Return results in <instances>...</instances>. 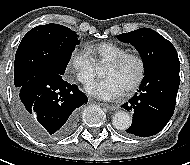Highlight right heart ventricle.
<instances>
[{"mask_svg": "<svg viewBox=\"0 0 190 165\" xmlns=\"http://www.w3.org/2000/svg\"><path fill=\"white\" fill-rule=\"evenodd\" d=\"M93 59L97 62H109L125 53L127 49L113 42H101L87 48Z\"/></svg>", "mask_w": 190, "mask_h": 165, "instance_id": "obj_1", "label": "right heart ventricle"}]
</instances>
